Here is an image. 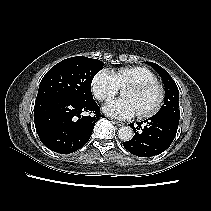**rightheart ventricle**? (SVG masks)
Here are the masks:
<instances>
[{
    "mask_svg": "<svg viewBox=\"0 0 211 211\" xmlns=\"http://www.w3.org/2000/svg\"><path fill=\"white\" fill-rule=\"evenodd\" d=\"M113 74L119 87H126L137 82L157 80L155 73L144 66L122 67L114 71Z\"/></svg>",
    "mask_w": 211,
    "mask_h": 211,
    "instance_id": "1",
    "label": "right heart ventricle"
}]
</instances>
